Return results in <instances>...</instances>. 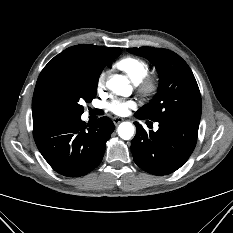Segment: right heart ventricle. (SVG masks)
I'll use <instances>...</instances> for the list:
<instances>
[{"instance_id":"right-heart-ventricle-1","label":"right heart ventricle","mask_w":233,"mask_h":233,"mask_svg":"<svg viewBox=\"0 0 233 233\" xmlns=\"http://www.w3.org/2000/svg\"><path fill=\"white\" fill-rule=\"evenodd\" d=\"M115 67L124 73L134 84L140 82L149 71L148 62L135 56H125L121 58L115 63Z\"/></svg>"}]
</instances>
